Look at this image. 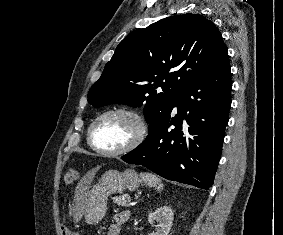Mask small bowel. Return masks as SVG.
<instances>
[{"label":"small bowel","instance_id":"c3829d8e","mask_svg":"<svg viewBox=\"0 0 283 235\" xmlns=\"http://www.w3.org/2000/svg\"><path fill=\"white\" fill-rule=\"evenodd\" d=\"M130 213L127 211L116 214L107 230V235H120L122 226L128 221ZM78 235V234H71Z\"/></svg>","mask_w":283,"mask_h":235}]
</instances>
